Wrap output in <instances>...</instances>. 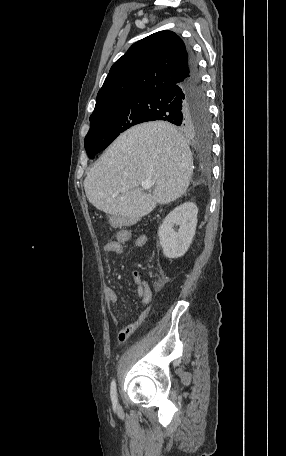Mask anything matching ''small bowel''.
Segmentation results:
<instances>
[{
    "label": "small bowel",
    "instance_id": "small-bowel-1",
    "mask_svg": "<svg viewBox=\"0 0 286 456\" xmlns=\"http://www.w3.org/2000/svg\"><path fill=\"white\" fill-rule=\"evenodd\" d=\"M130 239V232L128 230H120L116 233L115 238L107 241L103 246V251L110 255H122L123 244L128 242ZM147 244V236L142 234L136 237L135 246L137 248H143ZM133 283L136 285V294L141 298V312L137 319L128 324L125 328L119 331L118 340L120 342L125 341L135 329L147 318L150 312V306L153 298V292L147 282L143 279L142 275L138 271L131 273ZM105 296L109 304L116 306L118 302V296L113 288L107 287L105 289ZM110 317L112 322L116 325L118 318L110 311Z\"/></svg>",
    "mask_w": 286,
    "mask_h": 456
}]
</instances>
